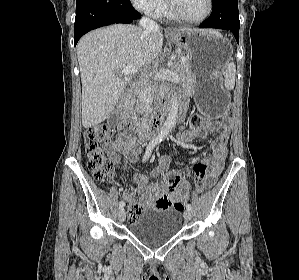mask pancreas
<instances>
[{
	"mask_svg": "<svg viewBox=\"0 0 299 280\" xmlns=\"http://www.w3.org/2000/svg\"><path fill=\"white\" fill-rule=\"evenodd\" d=\"M180 75L182 78V84L183 86H185L186 88H192L193 86V76H192V71H191V67H190V62L186 61L185 63H181L180 64ZM134 112L138 113L139 110L138 108H134Z\"/></svg>",
	"mask_w": 299,
	"mask_h": 280,
	"instance_id": "pancreas-1",
	"label": "pancreas"
}]
</instances>
